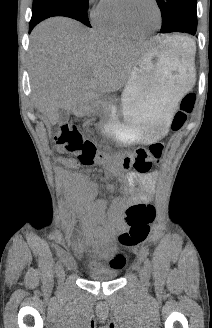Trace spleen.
<instances>
[{
    "instance_id": "spleen-1",
    "label": "spleen",
    "mask_w": 212,
    "mask_h": 328,
    "mask_svg": "<svg viewBox=\"0 0 212 328\" xmlns=\"http://www.w3.org/2000/svg\"><path fill=\"white\" fill-rule=\"evenodd\" d=\"M167 40L173 41L176 45L182 46L186 49L187 52L194 55L196 47L194 41L191 38L183 36H174L168 37Z\"/></svg>"
}]
</instances>
